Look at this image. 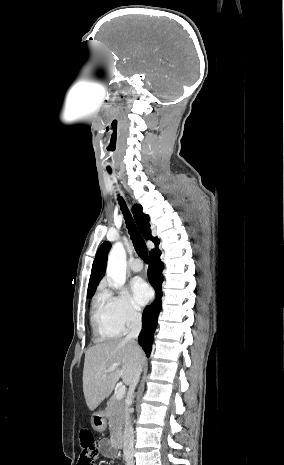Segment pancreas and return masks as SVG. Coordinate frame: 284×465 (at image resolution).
<instances>
[{"label":"pancreas","instance_id":"pancreas-1","mask_svg":"<svg viewBox=\"0 0 284 465\" xmlns=\"http://www.w3.org/2000/svg\"><path fill=\"white\" fill-rule=\"evenodd\" d=\"M105 417L109 421L111 441L114 443L116 437L121 433L122 425L124 423V401H117L115 395L109 399L106 407Z\"/></svg>","mask_w":284,"mask_h":465}]
</instances>
